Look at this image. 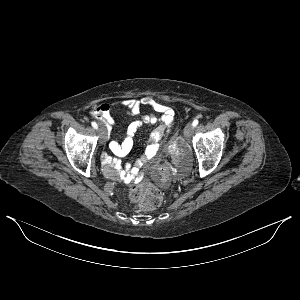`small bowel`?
I'll return each instance as SVG.
<instances>
[{"mask_svg":"<svg viewBox=\"0 0 300 300\" xmlns=\"http://www.w3.org/2000/svg\"><path fill=\"white\" fill-rule=\"evenodd\" d=\"M114 105L115 104L107 103L100 104L92 112V114L102 122L106 134H109L114 127V119L111 115V108ZM116 105L124 108L133 116H137L140 113L142 106H148L158 114H147L132 121L128 125L126 136L122 142L113 140L109 143L110 150L118 158H112L107 154L102 156L103 171L107 177L113 180H121L124 178L134 179L138 173L137 168L123 164L121 158L127 156L132 150L134 137L140 128L147 124H157L156 128L150 135L149 142L144 150V153L137 161V166L149 164L158 153L159 142L166 134L170 132L174 120V111L170 107L156 101L151 97H143L141 99H126L117 102ZM173 149L175 150V147H173Z\"/></svg>","mask_w":300,"mask_h":300,"instance_id":"1","label":"small bowel"}]
</instances>
